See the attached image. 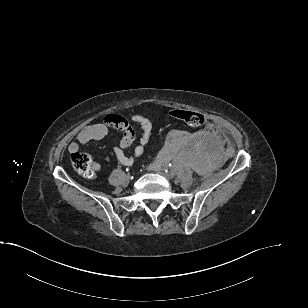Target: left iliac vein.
I'll return each instance as SVG.
<instances>
[{"instance_id": "left-iliac-vein-1", "label": "left iliac vein", "mask_w": 308, "mask_h": 308, "mask_svg": "<svg viewBox=\"0 0 308 308\" xmlns=\"http://www.w3.org/2000/svg\"><path fill=\"white\" fill-rule=\"evenodd\" d=\"M150 169L157 172L158 174L162 175L166 179H171L172 175L168 174L167 172L164 171L162 166L159 163H154L150 166Z\"/></svg>"}]
</instances>
